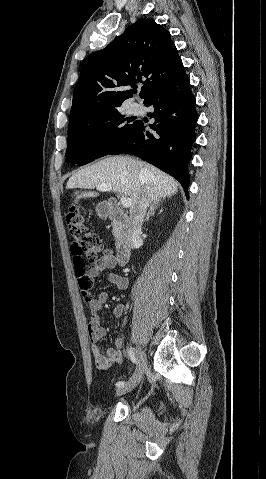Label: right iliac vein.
<instances>
[{"mask_svg": "<svg viewBox=\"0 0 266 479\" xmlns=\"http://www.w3.org/2000/svg\"><path fill=\"white\" fill-rule=\"evenodd\" d=\"M147 369V359L144 351L139 348L138 349V366L134 373V375L130 378V380L122 387H118L116 389V395L120 396L132 391L140 382L143 374Z\"/></svg>", "mask_w": 266, "mask_h": 479, "instance_id": "right-iliac-vein-1", "label": "right iliac vein"}]
</instances>
